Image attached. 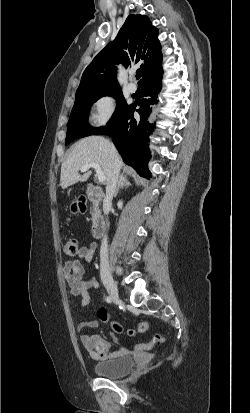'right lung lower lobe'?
Returning <instances> with one entry per match:
<instances>
[{"mask_svg": "<svg viewBox=\"0 0 250 413\" xmlns=\"http://www.w3.org/2000/svg\"><path fill=\"white\" fill-rule=\"evenodd\" d=\"M163 71H156L141 81L144 99L138 104L139 118L133 117L136 105H127L105 127L93 135H108L113 137V143L118 149L123 161L133 167L140 176L151 177L147 164L149 151L148 137L154 130L153 109L158 92L161 90Z\"/></svg>", "mask_w": 250, "mask_h": 413, "instance_id": "1", "label": "right lung lower lobe"}]
</instances>
